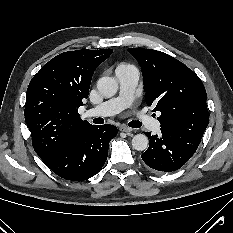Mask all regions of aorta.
I'll return each instance as SVG.
<instances>
[{"mask_svg":"<svg viewBox=\"0 0 233 233\" xmlns=\"http://www.w3.org/2000/svg\"><path fill=\"white\" fill-rule=\"evenodd\" d=\"M97 89L102 96L110 98L116 94L118 83L112 77H102L97 81ZM148 144L149 140L145 134H137L132 138V147L137 151L146 150Z\"/></svg>","mask_w":233,"mask_h":233,"instance_id":"obj_1","label":"aorta"}]
</instances>
